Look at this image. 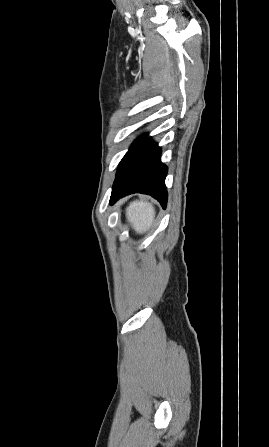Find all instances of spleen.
Returning a JSON list of instances; mask_svg holds the SVG:
<instances>
[{
  "label": "spleen",
  "mask_w": 269,
  "mask_h": 447,
  "mask_svg": "<svg viewBox=\"0 0 269 447\" xmlns=\"http://www.w3.org/2000/svg\"><path fill=\"white\" fill-rule=\"evenodd\" d=\"M128 222L137 233H145L155 222V210L150 202L135 200L126 208Z\"/></svg>",
  "instance_id": "1"
}]
</instances>
